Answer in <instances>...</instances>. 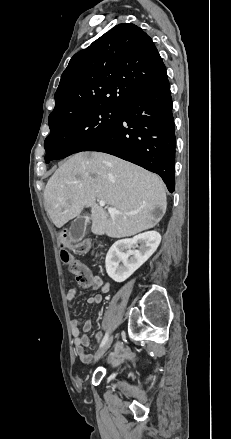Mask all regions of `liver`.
Masks as SVG:
<instances>
[{
    "instance_id": "obj_1",
    "label": "liver",
    "mask_w": 231,
    "mask_h": 439,
    "mask_svg": "<svg viewBox=\"0 0 231 439\" xmlns=\"http://www.w3.org/2000/svg\"><path fill=\"white\" fill-rule=\"evenodd\" d=\"M101 200L120 213H108L97 204ZM44 201L58 228L90 207L91 231L111 238L152 228L167 207L165 185L158 175L100 152H80L62 163L47 182Z\"/></svg>"
}]
</instances>
